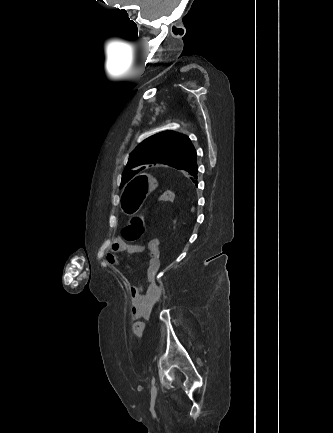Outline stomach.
<instances>
[{"mask_svg":"<svg viewBox=\"0 0 333 433\" xmlns=\"http://www.w3.org/2000/svg\"><path fill=\"white\" fill-rule=\"evenodd\" d=\"M155 179L149 174H143L132 178L125 186L120 209L128 216L139 212L144 200L156 188Z\"/></svg>","mask_w":333,"mask_h":433,"instance_id":"stomach-1","label":"stomach"}]
</instances>
